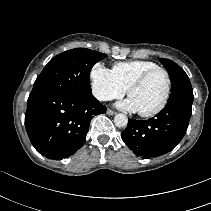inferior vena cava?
Returning a JSON list of instances; mask_svg holds the SVG:
<instances>
[{"instance_id":"inferior-vena-cava-1","label":"inferior vena cava","mask_w":211,"mask_h":211,"mask_svg":"<svg viewBox=\"0 0 211 211\" xmlns=\"http://www.w3.org/2000/svg\"><path fill=\"white\" fill-rule=\"evenodd\" d=\"M94 95L101 101L110 100L109 95L106 92L103 91H94Z\"/></svg>"}]
</instances>
